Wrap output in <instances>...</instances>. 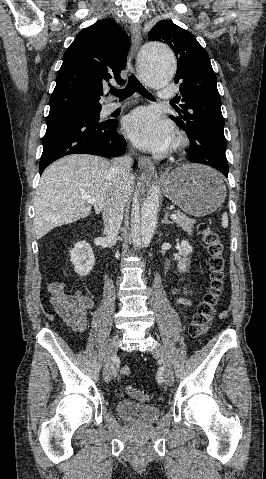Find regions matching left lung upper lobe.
Listing matches in <instances>:
<instances>
[{"instance_id": "1", "label": "left lung upper lobe", "mask_w": 266, "mask_h": 479, "mask_svg": "<svg viewBox=\"0 0 266 479\" xmlns=\"http://www.w3.org/2000/svg\"><path fill=\"white\" fill-rule=\"evenodd\" d=\"M151 41L167 43L175 52L178 68L175 83H180L179 118H170L189 137L190 161L214 166H228L225 150L224 119L217 77L208 53L189 31L172 21H159L148 33ZM183 113V116L181 115Z\"/></svg>"}]
</instances>
